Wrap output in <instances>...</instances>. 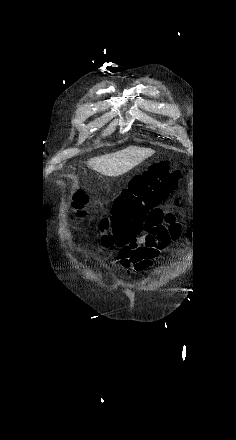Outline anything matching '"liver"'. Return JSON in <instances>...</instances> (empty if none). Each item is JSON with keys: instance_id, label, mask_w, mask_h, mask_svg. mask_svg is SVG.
<instances>
[{"instance_id": "1", "label": "liver", "mask_w": 236, "mask_h": 440, "mask_svg": "<svg viewBox=\"0 0 236 440\" xmlns=\"http://www.w3.org/2000/svg\"><path fill=\"white\" fill-rule=\"evenodd\" d=\"M154 150L131 146L120 151L90 159L87 165L93 170L109 177L120 176L152 156Z\"/></svg>"}]
</instances>
